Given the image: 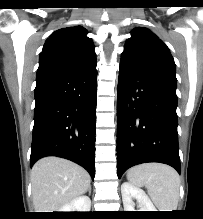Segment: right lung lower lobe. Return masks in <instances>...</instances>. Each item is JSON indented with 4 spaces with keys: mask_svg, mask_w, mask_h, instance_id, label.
I'll list each match as a JSON object with an SVG mask.
<instances>
[{
    "mask_svg": "<svg viewBox=\"0 0 203 219\" xmlns=\"http://www.w3.org/2000/svg\"><path fill=\"white\" fill-rule=\"evenodd\" d=\"M96 78V63L37 74L31 166L45 156L63 157L94 179Z\"/></svg>",
    "mask_w": 203,
    "mask_h": 219,
    "instance_id": "98d812e1",
    "label": "right lung lower lobe"
}]
</instances>
